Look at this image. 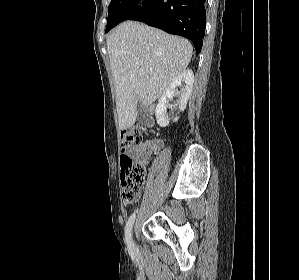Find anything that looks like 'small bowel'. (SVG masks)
<instances>
[{"label":"small bowel","mask_w":299,"mask_h":280,"mask_svg":"<svg viewBox=\"0 0 299 280\" xmlns=\"http://www.w3.org/2000/svg\"><path fill=\"white\" fill-rule=\"evenodd\" d=\"M162 146L163 142L161 140H147L145 143L135 147L133 150L139 155V159L146 161V159L149 157L150 151L159 150Z\"/></svg>","instance_id":"obj_1"}]
</instances>
